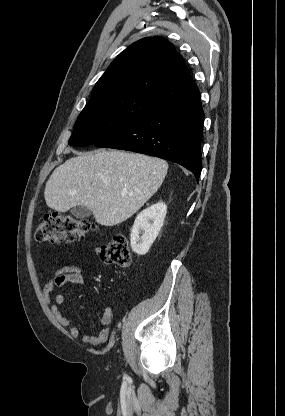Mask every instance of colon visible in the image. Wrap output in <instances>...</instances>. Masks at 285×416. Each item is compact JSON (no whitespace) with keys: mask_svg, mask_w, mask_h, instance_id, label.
<instances>
[{"mask_svg":"<svg viewBox=\"0 0 285 416\" xmlns=\"http://www.w3.org/2000/svg\"><path fill=\"white\" fill-rule=\"evenodd\" d=\"M93 222L58 213L48 214L37 226L34 239L38 243L73 242L94 231ZM102 261L126 267L131 262L128 241L120 233L113 234L100 248Z\"/></svg>","mask_w":285,"mask_h":416,"instance_id":"obj_1","label":"colon"}]
</instances>
